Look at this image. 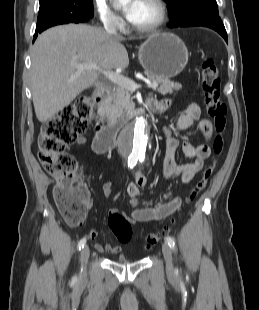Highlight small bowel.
Masks as SVG:
<instances>
[{
  "instance_id": "c3829d8e",
  "label": "small bowel",
  "mask_w": 259,
  "mask_h": 310,
  "mask_svg": "<svg viewBox=\"0 0 259 310\" xmlns=\"http://www.w3.org/2000/svg\"><path fill=\"white\" fill-rule=\"evenodd\" d=\"M152 100V99H150ZM160 109L164 111L172 105L171 100L156 102L152 100ZM183 113L176 119L174 126L163 127V137L165 142V158L163 162L164 175L171 180H179L184 184L190 183L195 175L202 169L204 160L210 155V148L207 141L212 135V125L206 120H200L201 110L200 106L193 101L185 102L182 108ZM199 121L198 127L202 132L206 142L193 143L192 141H184L179 144V141L173 136L174 130H187L192 125ZM86 141L84 137L78 139V143L82 144ZM181 146L183 154L190 159V162L183 165L175 163V153ZM147 179L142 170L135 172L134 180L127 185V194L131 200L132 211L131 215H124L130 222H148L158 221L167 218L181 207V198L174 197L173 189H166L159 198L154 199L144 196L141 188L145 187ZM114 185L112 182H105L102 184V191L106 197H109L113 192ZM172 198V199H171ZM92 206V202L89 207ZM116 212L115 209H110L109 213ZM90 238L97 237V231H89ZM95 249L100 252H107L111 254H118L121 251L120 245L101 244L97 242Z\"/></svg>"
}]
</instances>
